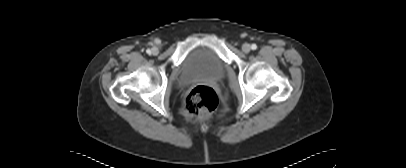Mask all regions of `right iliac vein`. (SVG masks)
Listing matches in <instances>:
<instances>
[{
  "mask_svg": "<svg viewBox=\"0 0 406 168\" xmlns=\"http://www.w3.org/2000/svg\"><path fill=\"white\" fill-rule=\"evenodd\" d=\"M151 53H152L153 55H157V54L159 53L158 48H157V47H153V48L151 49Z\"/></svg>",
  "mask_w": 406,
  "mask_h": 168,
  "instance_id": "right-iliac-vein-1",
  "label": "right iliac vein"
}]
</instances>
